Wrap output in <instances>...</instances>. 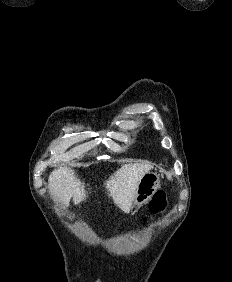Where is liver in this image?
<instances>
[{
  "label": "liver",
  "instance_id": "6515ba94",
  "mask_svg": "<svg viewBox=\"0 0 232 282\" xmlns=\"http://www.w3.org/2000/svg\"><path fill=\"white\" fill-rule=\"evenodd\" d=\"M151 169L152 165L144 162L121 166L105 182L108 197H111L114 204L123 212L129 213L134 204L139 182L143 175L150 172ZM48 181L49 192L57 197L64 207L69 206L71 198H73L75 205L87 198L85 184L76 177L70 168L59 167L53 170Z\"/></svg>",
  "mask_w": 232,
  "mask_h": 282
}]
</instances>
